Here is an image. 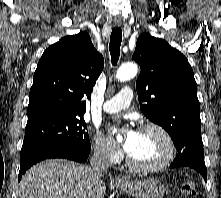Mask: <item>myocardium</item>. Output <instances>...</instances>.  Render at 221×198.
Returning <instances> with one entry per match:
<instances>
[{"label": "myocardium", "instance_id": "f54148a6", "mask_svg": "<svg viewBox=\"0 0 221 198\" xmlns=\"http://www.w3.org/2000/svg\"><path fill=\"white\" fill-rule=\"evenodd\" d=\"M148 129L157 131L163 137L166 143V152L158 162L149 165L138 164L135 161H133L130 158V156L127 154L126 155L127 165L135 171L144 172V173L156 172L164 169L170 164V162L173 160L175 155L174 140L170 135V133L163 126L154 122H146L139 127V131L148 130Z\"/></svg>", "mask_w": 221, "mask_h": 198}]
</instances>
